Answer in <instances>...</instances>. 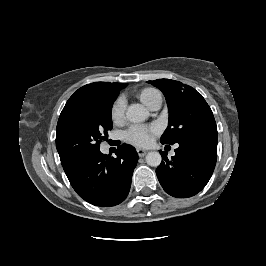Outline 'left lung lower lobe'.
<instances>
[{
  "label": "left lung lower lobe",
  "mask_w": 266,
  "mask_h": 266,
  "mask_svg": "<svg viewBox=\"0 0 266 266\" xmlns=\"http://www.w3.org/2000/svg\"><path fill=\"white\" fill-rule=\"evenodd\" d=\"M178 144L171 160L166 152L161 153L163 161L156 174L169 195L187 198L200 192L212 176L217 159V136L188 139Z\"/></svg>",
  "instance_id": "0a47b994"
}]
</instances>
